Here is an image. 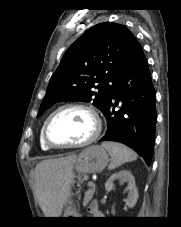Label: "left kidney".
<instances>
[{
	"label": "left kidney",
	"mask_w": 181,
	"mask_h": 227,
	"mask_svg": "<svg viewBox=\"0 0 181 227\" xmlns=\"http://www.w3.org/2000/svg\"><path fill=\"white\" fill-rule=\"evenodd\" d=\"M128 183V196L125 200L126 205L129 208H133L138 199V191L135 185V178L128 170H121L115 174H112L105 183V189L111 191L113 189V182L115 180Z\"/></svg>",
	"instance_id": "1"
}]
</instances>
